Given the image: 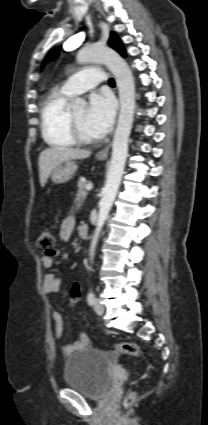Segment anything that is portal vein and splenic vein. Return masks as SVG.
<instances>
[{"label":"portal vein and splenic vein","mask_w":208,"mask_h":425,"mask_svg":"<svg viewBox=\"0 0 208 425\" xmlns=\"http://www.w3.org/2000/svg\"><path fill=\"white\" fill-rule=\"evenodd\" d=\"M92 188H93V184H92V183H88V184L85 186V189H86L87 191L92 190Z\"/></svg>","instance_id":"1"}]
</instances>
